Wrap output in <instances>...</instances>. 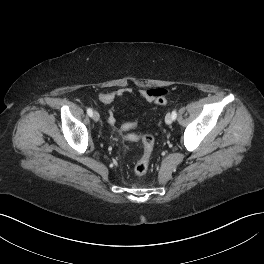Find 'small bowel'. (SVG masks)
I'll use <instances>...</instances> for the list:
<instances>
[{
    "mask_svg": "<svg viewBox=\"0 0 264 264\" xmlns=\"http://www.w3.org/2000/svg\"><path fill=\"white\" fill-rule=\"evenodd\" d=\"M132 93L133 91L130 88H120L115 91L105 92L99 95V102L104 106H110L116 99L126 94ZM168 94L169 91L162 87L143 89L138 92V96L147 102H155L157 98L164 97ZM108 122L110 124H113L115 122V117L112 108L109 110Z\"/></svg>",
    "mask_w": 264,
    "mask_h": 264,
    "instance_id": "small-bowel-1",
    "label": "small bowel"
}]
</instances>
